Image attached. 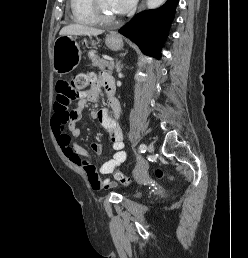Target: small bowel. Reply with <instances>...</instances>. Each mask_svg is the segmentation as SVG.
<instances>
[{
    "mask_svg": "<svg viewBox=\"0 0 248 258\" xmlns=\"http://www.w3.org/2000/svg\"><path fill=\"white\" fill-rule=\"evenodd\" d=\"M109 82L112 83L110 76L104 75L101 78V84L106 88L108 95L107 84ZM99 88L100 85H96L81 92L75 108L70 109L73 98L69 84L66 81L59 82L51 119V126L59 146L70 161L84 171L92 190L96 192L114 186V182L109 177L101 179L100 175L112 173L113 170L117 169L126 160V152L123 149V132L115 117L120 112V104L115 98L109 99V108L114 116L107 109L90 112V116L98 119L107 131L115 151L111 157L106 158L99 169H96L94 162L97 159L96 156L102 152V144L98 142L92 143L91 150L93 154H91L72 139L80 135V129L76 124L80 120L82 110L87 102H96L98 100Z\"/></svg>",
    "mask_w": 248,
    "mask_h": 258,
    "instance_id": "small-bowel-1",
    "label": "small bowel"
}]
</instances>
